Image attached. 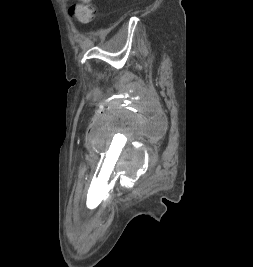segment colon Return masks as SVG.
I'll use <instances>...</instances> for the list:
<instances>
[{
	"mask_svg": "<svg viewBox=\"0 0 253 267\" xmlns=\"http://www.w3.org/2000/svg\"><path fill=\"white\" fill-rule=\"evenodd\" d=\"M69 13L79 23L88 24L94 20L96 16V9L92 0H80L79 4L70 7Z\"/></svg>",
	"mask_w": 253,
	"mask_h": 267,
	"instance_id": "1",
	"label": "colon"
}]
</instances>
